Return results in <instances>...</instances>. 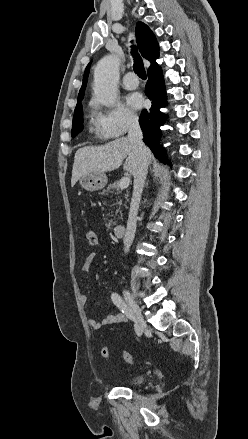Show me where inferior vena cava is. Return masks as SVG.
<instances>
[{
	"label": "inferior vena cava",
	"instance_id": "obj_1",
	"mask_svg": "<svg viewBox=\"0 0 248 439\" xmlns=\"http://www.w3.org/2000/svg\"><path fill=\"white\" fill-rule=\"evenodd\" d=\"M128 139H130L139 154L138 167L134 173L133 194L130 204L126 232L123 238L124 251H129L136 232V222L141 194L143 191L147 168L149 164L146 147L143 143V134L137 117H130L128 121Z\"/></svg>",
	"mask_w": 248,
	"mask_h": 439
}]
</instances>
